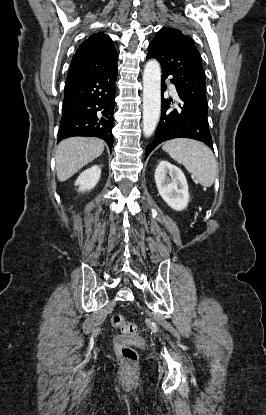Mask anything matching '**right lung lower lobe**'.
Instances as JSON below:
<instances>
[{"label":"right lung lower lobe","instance_id":"obj_1","mask_svg":"<svg viewBox=\"0 0 266 415\" xmlns=\"http://www.w3.org/2000/svg\"><path fill=\"white\" fill-rule=\"evenodd\" d=\"M117 66L65 84L58 142L72 136L99 137L113 146V114Z\"/></svg>","mask_w":266,"mask_h":415}]
</instances>
